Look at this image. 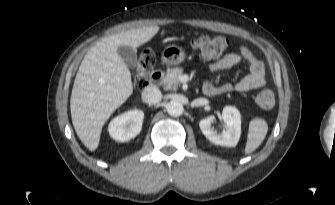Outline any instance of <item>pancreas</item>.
<instances>
[{
	"label": "pancreas",
	"instance_id": "pancreas-1",
	"mask_svg": "<svg viewBox=\"0 0 335 205\" xmlns=\"http://www.w3.org/2000/svg\"><path fill=\"white\" fill-rule=\"evenodd\" d=\"M183 75V69L176 67L168 69L163 79V87L165 90H176L180 85V77Z\"/></svg>",
	"mask_w": 335,
	"mask_h": 205
}]
</instances>
